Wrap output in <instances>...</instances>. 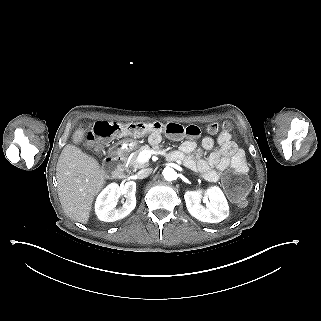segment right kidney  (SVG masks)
Instances as JSON below:
<instances>
[{
  "label": "right kidney",
  "instance_id": "right-kidney-1",
  "mask_svg": "<svg viewBox=\"0 0 321 321\" xmlns=\"http://www.w3.org/2000/svg\"><path fill=\"white\" fill-rule=\"evenodd\" d=\"M136 182L128 181L123 186L117 183L108 185L98 196L95 210L99 219L113 222L126 217L136 206ZM126 195V202L122 207L116 208L119 198Z\"/></svg>",
  "mask_w": 321,
  "mask_h": 321
}]
</instances>
